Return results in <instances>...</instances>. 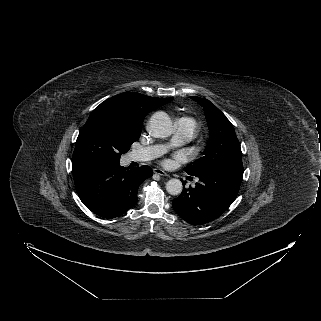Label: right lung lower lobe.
I'll return each instance as SVG.
<instances>
[{
  "label": "right lung lower lobe",
  "instance_id": "obj_1",
  "mask_svg": "<svg viewBox=\"0 0 321 321\" xmlns=\"http://www.w3.org/2000/svg\"><path fill=\"white\" fill-rule=\"evenodd\" d=\"M72 173L81 201L105 218L118 217L132 208L137 202L140 184L153 174L149 166L128 169L119 163L72 168Z\"/></svg>",
  "mask_w": 321,
  "mask_h": 321
}]
</instances>
